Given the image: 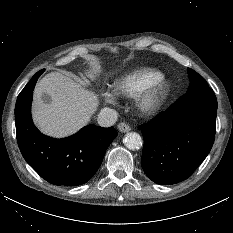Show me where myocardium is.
<instances>
[{
	"mask_svg": "<svg viewBox=\"0 0 233 233\" xmlns=\"http://www.w3.org/2000/svg\"><path fill=\"white\" fill-rule=\"evenodd\" d=\"M171 93V85L164 78L154 82L137 96L136 106L143 116L158 114L165 106Z\"/></svg>",
	"mask_w": 233,
	"mask_h": 233,
	"instance_id": "1",
	"label": "myocardium"
}]
</instances>
